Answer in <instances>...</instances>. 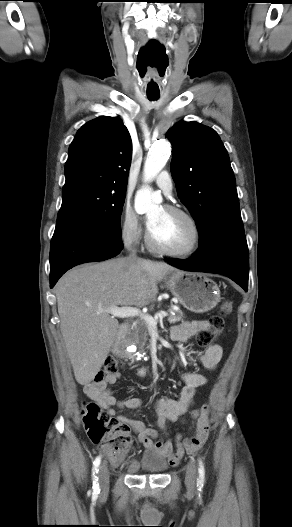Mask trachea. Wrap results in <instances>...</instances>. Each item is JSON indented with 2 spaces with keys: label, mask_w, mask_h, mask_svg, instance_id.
Instances as JSON below:
<instances>
[{
  "label": "trachea",
  "mask_w": 292,
  "mask_h": 527,
  "mask_svg": "<svg viewBox=\"0 0 292 527\" xmlns=\"http://www.w3.org/2000/svg\"><path fill=\"white\" fill-rule=\"evenodd\" d=\"M147 96H148V98H149L150 100H157V99L159 98V95H151V94H148Z\"/></svg>",
  "instance_id": "obj_1"
}]
</instances>
